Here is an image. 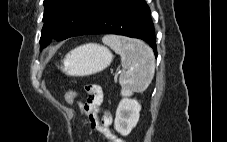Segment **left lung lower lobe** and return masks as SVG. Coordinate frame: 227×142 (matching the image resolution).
Returning a JSON list of instances; mask_svg holds the SVG:
<instances>
[{
    "mask_svg": "<svg viewBox=\"0 0 227 142\" xmlns=\"http://www.w3.org/2000/svg\"><path fill=\"white\" fill-rule=\"evenodd\" d=\"M90 34H117L142 39L157 56L154 26L145 0H109L72 36Z\"/></svg>",
    "mask_w": 227,
    "mask_h": 142,
    "instance_id": "obj_1",
    "label": "left lung lower lobe"
}]
</instances>
